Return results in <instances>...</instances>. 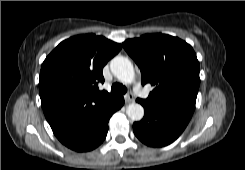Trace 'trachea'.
<instances>
[{"instance_id": "trachea-1", "label": "trachea", "mask_w": 245, "mask_h": 170, "mask_svg": "<svg viewBox=\"0 0 245 170\" xmlns=\"http://www.w3.org/2000/svg\"><path fill=\"white\" fill-rule=\"evenodd\" d=\"M127 91L126 87L120 83H113L111 86V92L113 94H125Z\"/></svg>"}]
</instances>
